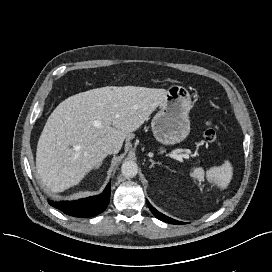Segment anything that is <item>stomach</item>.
<instances>
[{
    "mask_svg": "<svg viewBox=\"0 0 272 272\" xmlns=\"http://www.w3.org/2000/svg\"><path fill=\"white\" fill-rule=\"evenodd\" d=\"M151 122L155 139L163 145L183 141L190 132L191 97L183 86L172 85Z\"/></svg>",
    "mask_w": 272,
    "mask_h": 272,
    "instance_id": "1",
    "label": "stomach"
}]
</instances>
